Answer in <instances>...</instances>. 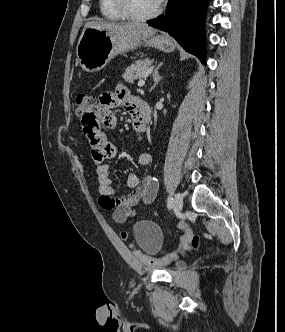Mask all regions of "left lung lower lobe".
I'll return each instance as SVG.
<instances>
[{"label": "left lung lower lobe", "instance_id": "obj_1", "mask_svg": "<svg viewBox=\"0 0 285 332\" xmlns=\"http://www.w3.org/2000/svg\"><path fill=\"white\" fill-rule=\"evenodd\" d=\"M207 0H171L165 15L147 21L167 31L189 53L205 63L204 17Z\"/></svg>", "mask_w": 285, "mask_h": 332}]
</instances>
